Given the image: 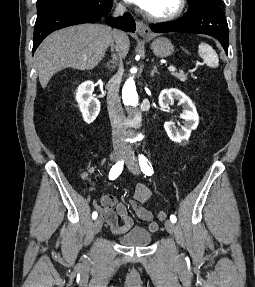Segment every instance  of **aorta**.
<instances>
[{
	"mask_svg": "<svg viewBox=\"0 0 255 287\" xmlns=\"http://www.w3.org/2000/svg\"><path fill=\"white\" fill-rule=\"evenodd\" d=\"M136 71V70H135ZM122 98L124 104L133 110L139 107V97L133 77H129L122 88Z\"/></svg>",
	"mask_w": 255,
	"mask_h": 287,
	"instance_id": "762f6f07",
	"label": "aorta"
}]
</instances>
